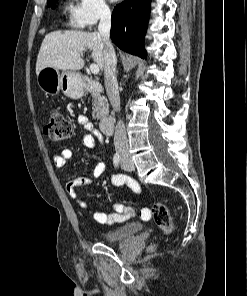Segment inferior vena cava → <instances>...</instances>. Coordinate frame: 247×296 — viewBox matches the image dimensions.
<instances>
[{"mask_svg":"<svg viewBox=\"0 0 247 296\" xmlns=\"http://www.w3.org/2000/svg\"><path fill=\"white\" fill-rule=\"evenodd\" d=\"M111 12L108 7H103L100 13V22L98 26L99 35L104 43V78L105 87L110 103L114 111H120V96L118 91V82L115 74L116 55L113 45L110 41ZM115 150L118 152L128 151V140L125 131V125L122 120L117 122L114 134Z\"/></svg>","mask_w":247,"mask_h":296,"instance_id":"1","label":"inferior vena cava"}]
</instances>
